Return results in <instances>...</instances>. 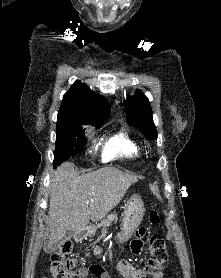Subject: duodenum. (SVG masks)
<instances>
[{"label": "duodenum", "mask_w": 221, "mask_h": 278, "mask_svg": "<svg viewBox=\"0 0 221 278\" xmlns=\"http://www.w3.org/2000/svg\"><path fill=\"white\" fill-rule=\"evenodd\" d=\"M85 236H86V230H82V231H79L75 234V239L77 241H81L85 238Z\"/></svg>", "instance_id": "duodenum-1"}]
</instances>
